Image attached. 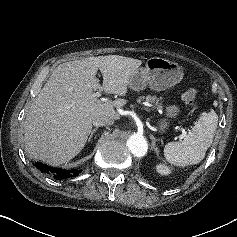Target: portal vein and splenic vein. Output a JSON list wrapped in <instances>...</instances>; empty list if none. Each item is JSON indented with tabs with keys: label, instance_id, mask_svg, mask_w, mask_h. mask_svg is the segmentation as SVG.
<instances>
[{
	"label": "portal vein and splenic vein",
	"instance_id": "portal-vein-and-splenic-vein-1",
	"mask_svg": "<svg viewBox=\"0 0 237 237\" xmlns=\"http://www.w3.org/2000/svg\"><path fill=\"white\" fill-rule=\"evenodd\" d=\"M94 97H100L101 96V93L98 91V92H96V93H94V95H93ZM185 132L180 136V138H183L184 136H185Z\"/></svg>",
	"mask_w": 237,
	"mask_h": 237
}]
</instances>
